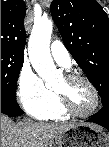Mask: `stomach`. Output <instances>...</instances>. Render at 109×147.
<instances>
[{"label":"stomach","mask_w":109,"mask_h":147,"mask_svg":"<svg viewBox=\"0 0 109 147\" xmlns=\"http://www.w3.org/2000/svg\"><path fill=\"white\" fill-rule=\"evenodd\" d=\"M58 147H109V134L101 128L79 124L56 136Z\"/></svg>","instance_id":"1"}]
</instances>
